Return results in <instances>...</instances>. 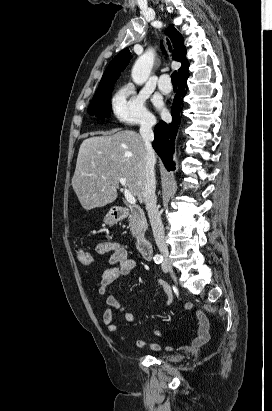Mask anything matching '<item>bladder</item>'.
I'll use <instances>...</instances> for the list:
<instances>
[{"mask_svg":"<svg viewBox=\"0 0 272 411\" xmlns=\"http://www.w3.org/2000/svg\"><path fill=\"white\" fill-rule=\"evenodd\" d=\"M163 359L168 362L175 363V362H179L182 359V357L180 355L174 354V355H166L163 357Z\"/></svg>","mask_w":272,"mask_h":411,"instance_id":"1","label":"bladder"}]
</instances>
